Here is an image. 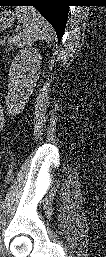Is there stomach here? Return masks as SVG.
<instances>
[{
    "instance_id": "obj_1",
    "label": "stomach",
    "mask_w": 106,
    "mask_h": 257,
    "mask_svg": "<svg viewBox=\"0 0 106 257\" xmlns=\"http://www.w3.org/2000/svg\"><path fill=\"white\" fill-rule=\"evenodd\" d=\"M15 20L14 13L11 11L3 10L1 12V19H0V27L1 31L5 30L6 28L10 27Z\"/></svg>"
}]
</instances>
